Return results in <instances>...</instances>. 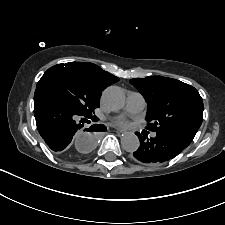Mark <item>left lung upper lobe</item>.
Wrapping results in <instances>:
<instances>
[{
	"label": "left lung upper lobe",
	"instance_id": "5c2ea615",
	"mask_svg": "<svg viewBox=\"0 0 225 225\" xmlns=\"http://www.w3.org/2000/svg\"><path fill=\"white\" fill-rule=\"evenodd\" d=\"M130 83L148 103L146 129L149 131L159 133L201 126L203 101L191 85L162 76L136 78Z\"/></svg>",
	"mask_w": 225,
	"mask_h": 225
}]
</instances>
